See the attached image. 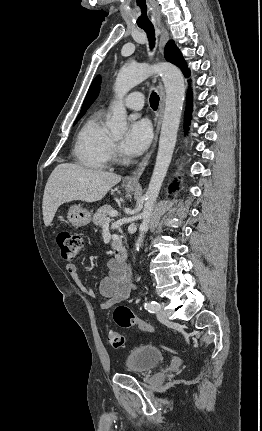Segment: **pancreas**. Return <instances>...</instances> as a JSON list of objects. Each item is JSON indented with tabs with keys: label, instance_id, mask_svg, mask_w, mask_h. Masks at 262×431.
<instances>
[{
	"label": "pancreas",
	"instance_id": "pancreas-1",
	"mask_svg": "<svg viewBox=\"0 0 262 431\" xmlns=\"http://www.w3.org/2000/svg\"><path fill=\"white\" fill-rule=\"evenodd\" d=\"M114 209L110 205H105L100 207L95 214L93 215V223L97 226H101L109 213H111ZM116 242H113L112 245L114 246Z\"/></svg>",
	"mask_w": 262,
	"mask_h": 431
}]
</instances>
